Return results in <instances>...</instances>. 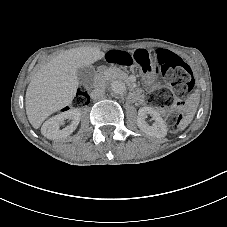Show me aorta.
I'll list each match as a JSON object with an SVG mask.
<instances>
[{"mask_svg": "<svg viewBox=\"0 0 227 227\" xmlns=\"http://www.w3.org/2000/svg\"><path fill=\"white\" fill-rule=\"evenodd\" d=\"M110 88L112 93L118 96L125 95L127 90L125 83L121 80L113 81Z\"/></svg>", "mask_w": 227, "mask_h": 227, "instance_id": "1", "label": "aorta"}]
</instances>
